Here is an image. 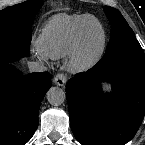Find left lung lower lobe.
<instances>
[{
    "mask_svg": "<svg viewBox=\"0 0 145 145\" xmlns=\"http://www.w3.org/2000/svg\"><path fill=\"white\" fill-rule=\"evenodd\" d=\"M110 82L112 93L101 91ZM70 126L82 145H124L145 115V64L108 65L101 59L67 85Z\"/></svg>",
    "mask_w": 145,
    "mask_h": 145,
    "instance_id": "0a47b994",
    "label": "left lung lower lobe"
}]
</instances>
